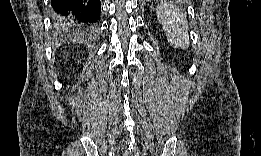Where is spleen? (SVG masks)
Here are the masks:
<instances>
[{
    "mask_svg": "<svg viewBox=\"0 0 261 156\" xmlns=\"http://www.w3.org/2000/svg\"><path fill=\"white\" fill-rule=\"evenodd\" d=\"M158 21L173 48L186 49L190 44L185 13L171 3H161L156 8Z\"/></svg>",
    "mask_w": 261,
    "mask_h": 156,
    "instance_id": "spleen-1",
    "label": "spleen"
}]
</instances>
